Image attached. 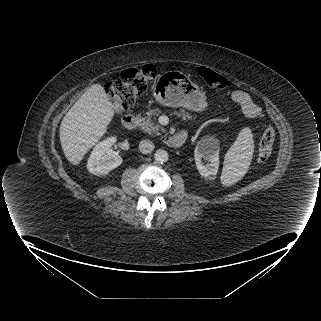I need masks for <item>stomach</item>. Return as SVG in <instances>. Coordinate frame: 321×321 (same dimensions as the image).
Wrapping results in <instances>:
<instances>
[{
    "label": "stomach",
    "instance_id": "obj_1",
    "mask_svg": "<svg viewBox=\"0 0 321 321\" xmlns=\"http://www.w3.org/2000/svg\"><path fill=\"white\" fill-rule=\"evenodd\" d=\"M153 94L163 106L184 107L195 112L207 108L205 94L180 71H167L160 75Z\"/></svg>",
    "mask_w": 321,
    "mask_h": 321
}]
</instances>
